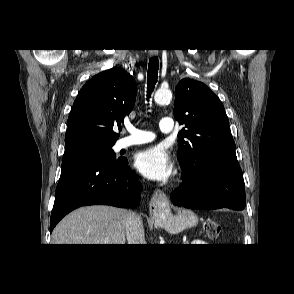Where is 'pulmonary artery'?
Masks as SVG:
<instances>
[{
    "label": "pulmonary artery",
    "instance_id": "e3ab8cb5",
    "mask_svg": "<svg viewBox=\"0 0 294 294\" xmlns=\"http://www.w3.org/2000/svg\"><path fill=\"white\" fill-rule=\"evenodd\" d=\"M159 127L162 132H171L173 130V120L170 117H163L160 120ZM126 128L131 135L120 139L119 144L121 147L144 144L152 141L155 137L152 132L137 129L131 124L126 125Z\"/></svg>",
    "mask_w": 294,
    "mask_h": 294
}]
</instances>
